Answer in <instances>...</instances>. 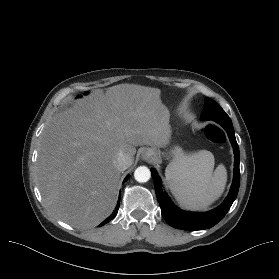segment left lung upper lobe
<instances>
[{"label":"left lung upper lobe","mask_w":279,"mask_h":279,"mask_svg":"<svg viewBox=\"0 0 279 279\" xmlns=\"http://www.w3.org/2000/svg\"><path fill=\"white\" fill-rule=\"evenodd\" d=\"M202 120H214L216 122L230 121L227 113L212 99L206 97L204 109L201 115Z\"/></svg>","instance_id":"5c2ea615"}]
</instances>
